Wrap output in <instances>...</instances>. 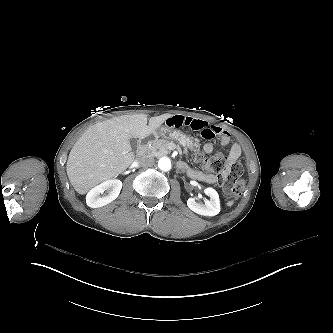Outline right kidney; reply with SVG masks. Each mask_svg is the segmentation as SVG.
<instances>
[{"instance_id": "obj_1", "label": "right kidney", "mask_w": 333, "mask_h": 333, "mask_svg": "<svg viewBox=\"0 0 333 333\" xmlns=\"http://www.w3.org/2000/svg\"><path fill=\"white\" fill-rule=\"evenodd\" d=\"M122 188V182L117 179L107 180L94 188L86 195V203L91 208L105 206L115 200ZM107 191L106 194L104 192Z\"/></svg>"}]
</instances>
